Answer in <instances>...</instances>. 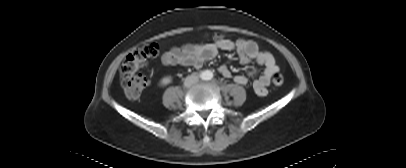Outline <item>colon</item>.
I'll return each instance as SVG.
<instances>
[{"instance_id": "colon-1", "label": "colon", "mask_w": 406, "mask_h": 168, "mask_svg": "<svg viewBox=\"0 0 406 168\" xmlns=\"http://www.w3.org/2000/svg\"><path fill=\"white\" fill-rule=\"evenodd\" d=\"M213 40L220 43L225 39L220 34H214ZM158 50L159 47L155 42L148 43L133 51L122 63L121 86L128 98L137 99L146 88L148 79L142 71L145 65L157 56ZM283 82V76L278 71L272 74V83L275 86H281Z\"/></svg>"}]
</instances>
